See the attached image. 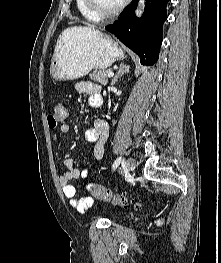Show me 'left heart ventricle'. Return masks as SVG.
I'll list each match as a JSON object with an SVG mask.
<instances>
[{
	"label": "left heart ventricle",
	"mask_w": 221,
	"mask_h": 263,
	"mask_svg": "<svg viewBox=\"0 0 221 263\" xmlns=\"http://www.w3.org/2000/svg\"><path fill=\"white\" fill-rule=\"evenodd\" d=\"M102 10H113L115 9L122 0H95Z\"/></svg>",
	"instance_id": "left-heart-ventricle-1"
}]
</instances>
